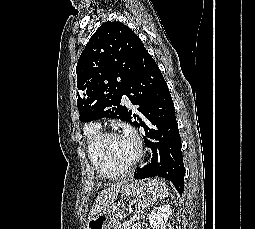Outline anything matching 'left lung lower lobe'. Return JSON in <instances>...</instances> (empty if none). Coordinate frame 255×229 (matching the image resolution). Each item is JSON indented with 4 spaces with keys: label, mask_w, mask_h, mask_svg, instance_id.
<instances>
[{
    "label": "left lung lower lobe",
    "mask_w": 255,
    "mask_h": 229,
    "mask_svg": "<svg viewBox=\"0 0 255 229\" xmlns=\"http://www.w3.org/2000/svg\"><path fill=\"white\" fill-rule=\"evenodd\" d=\"M123 94L133 105L139 106L142 115L139 117L129 111L127 122L144 129L143 138L153 151L151 163L137 169L134 178L163 177L182 194L185 168L174 103L159 67L146 49ZM132 117L136 121L132 122Z\"/></svg>",
    "instance_id": "1"
}]
</instances>
